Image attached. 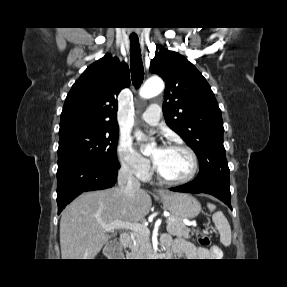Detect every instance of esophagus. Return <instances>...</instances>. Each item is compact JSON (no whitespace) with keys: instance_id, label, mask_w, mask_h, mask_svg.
I'll list each match as a JSON object with an SVG mask.
<instances>
[{"instance_id":"esophagus-1","label":"esophagus","mask_w":287,"mask_h":287,"mask_svg":"<svg viewBox=\"0 0 287 287\" xmlns=\"http://www.w3.org/2000/svg\"><path fill=\"white\" fill-rule=\"evenodd\" d=\"M155 192H156L157 194H163V193H164V190H162V189H156Z\"/></svg>"}]
</instances>
